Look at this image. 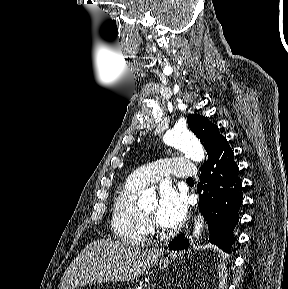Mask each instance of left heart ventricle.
Wrapping results in <instances>:
<instances>
[{
  "label": "left heart ventricle",
  "instance_id": "b2bd125f",
  "mask_svg": "<svg viewBox=\"0 0 288 289\" xmlns=\"http://www.w3.org/2000/svg\"><path fill=\"white\" fill-rule=\"evenodd\" d=\"M156 210H157V205L154 203L152 204L151 206L143 209L142 211L149 217H153L156 213Z\"/></svg>",
  "mask_w": 288,
  "mask_h": 289
}]
</instances>
